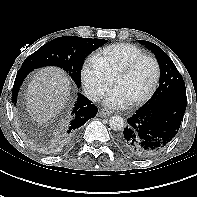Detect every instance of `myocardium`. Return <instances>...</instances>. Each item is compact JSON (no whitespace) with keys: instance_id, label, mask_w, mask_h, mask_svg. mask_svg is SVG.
<instances>
[{"instance_id":"1","label":"myocardium","mask_w":197,"mask_h":197,"mask_svg":"<svg viewBox=\"0 0 197 197\" xmlns=\"http://www.w3.org/2000/svg\"><path fill=\"white\" fill-rule=\"evenodd\" d=\"M146 60L151 61L155 68V75H154L153 82L150 88L143 95H141L140 97L136 98L133 101L128 102V105L130 106H136V105L142 104L154 94L155 90L157 89L159 79H160V64L158 60L151 55H146V54L142 55L132 60L129 64H127L123 68H121L114 77V84H115L118 79L130 75L137 68L139 64H141L143 61H146Z\"/></svg>"}]
</instances>
